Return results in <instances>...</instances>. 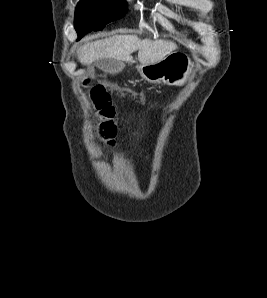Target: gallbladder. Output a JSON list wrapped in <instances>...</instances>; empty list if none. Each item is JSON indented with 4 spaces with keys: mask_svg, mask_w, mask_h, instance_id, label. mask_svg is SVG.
Listing matches in <instances>:
<instances>
[{
    "mask_svg": "<svg viewBox=\"0 0 267 298\" xmlns=\"http://www.w3.org/2000/svg\"><path fill=\"white\" fill-rule=\"evenodd\" d=\"M95 66H97L99 69L103 71H112L113 69L120 66V63L116 62L113 59L104 58V59H99L95 61ZM88 73L92 74L93 68H89Z\"/></svg>",
    "mask_w": 267,
    "mask_h": 298,
    "instance_id": "bac80fb5",
    "label": "gallbladder"
}]
</instances>
